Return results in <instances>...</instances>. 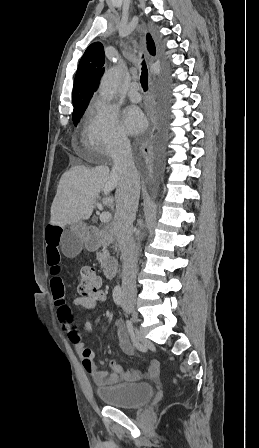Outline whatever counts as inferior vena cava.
I'll return each mask as SVG.
<instances>
[{"label":"inferior vena cava","instance_id":"inferior-vena-cava-1","mask_svg":"<svg viewBox=\"0 0 259 448\" xmlns=\"http://www.w3.org/2000/svg\"><path fill=\"white\" fill-rule=\"evenodd\" d=\"M112 158V174H117L119 182L113 232L123 260L122 300L124 304H129L135 302L136 298L138 250L133 240V222L140 196V178L126 136L115 140Z\"/></svg>","mask_w":259,"mask_h":448}]
</instances>
